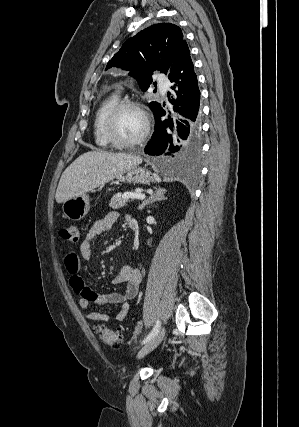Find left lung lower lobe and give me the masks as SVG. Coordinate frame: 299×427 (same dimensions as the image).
I'll list each match as a JSON object with an SVG mask.
<instances>
[{
    "mask_svg": "<svg viewBox=\"0 0 299 427\" xmlns=\"http://www.w3.org/2000/svg\"><path fill=\"white\" fill-rule=\"evenodd\" d=\"M173 82L168 99L171 111L167 113L157 105L154 113L155 133L145 147L148 155L161 156L166 162H191L201 151L200 90L194 72L190 51L185 40L182 41L173 63L168 71ZM172 112L177 117H171Z\"/></svg>",
    "mask_w": 299,
    "mask_h": 427,
    "instance_id": "left-lung-lower-lobe-1",
    "label": "left lung lower lobe"
}]
</instances>
